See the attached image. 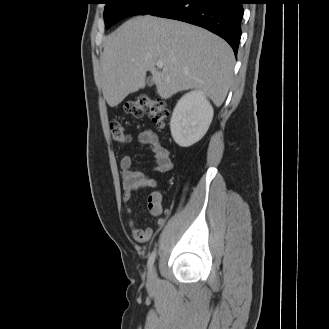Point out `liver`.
Listing matches in <instances>:
<instances>
[{"mask_svg": "<svg viewBox=\"0 0 329 329\" xmlns=\"http://www.w3.org/2000/svg\"><path fill=\"white\" fill-rule=\"evenodd\" d=\"M157 61L164 63L162 69L156 68ZM234 64L229 44L201 27L137 16L106 38L101 87L108 105L115 107L145 86L150 71L161 98L198 89L219 107L227 96Z\"/></svg>", "mask_w": 329, "mask_h": 329, "instance_id": "liver-1", "label": "liver"}]
</instances>
